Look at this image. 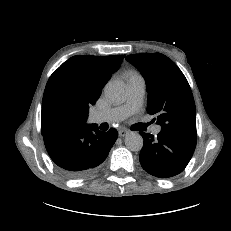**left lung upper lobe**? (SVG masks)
Masks as SVG:
<instances>
[{
    "label": "left lung upper lobe",
    "mask_w": 231,
    "mask_h": 231,
    "mask_svg": "<svg viewBox=\"0 0 231 231\" xmlns=\"http://www.w3.org/2000/svg\"><path fill=\"white\" fill-rule=\"evenodd\" d=\"M126 60L144 77L148 92L147 112L157 117L162 130L196 136L194 98L177 65L161 53L132 54Z\"/></svg>",
    "instance_id": "1"
}]
</instances>
